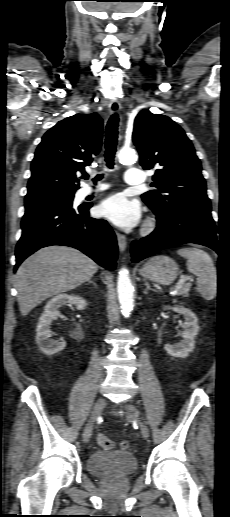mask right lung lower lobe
<instances>
[{"label":"right lung lower lobe","instance_id":"obj_1","mask_svg":"<svg viewBox=\"0 0 230 517\" xmlns=\"http://www.w3.org/2000/svg\"><path fill=\"white\" fill-rule=\"evenodd\" d=\"M89 208L73 209L57 204L25 206L15 270L32 253L50 245L77 248L104 268L114 270L118 254L116 236L105 220L89 217Z\"/></svg>","mask_w":230,"mask_h":517}]
</instances>
